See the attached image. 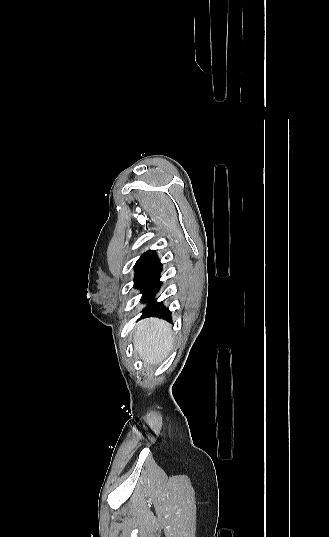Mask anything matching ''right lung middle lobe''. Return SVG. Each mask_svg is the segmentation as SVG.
Listing matches in <instances>:
<instances>
[{"label":"right lung middle lobe","instance_id":"right-lung-middle-lobe-1","mask_svg":"<svg viewBox=\"0 0 329 537\" xmlns=\"http://www.w3.org/2000/svg\"><path fill=\"white\" fill-rule=\"evenodd\" d=\"M147 268V265H135V278L134 282L138 279V277L142 274V272Z\"/></svg>","mask_w":329,"mask_h":537}]
</instances>
